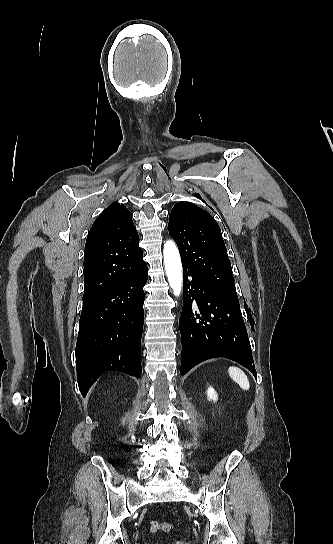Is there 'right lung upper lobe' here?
Returning <instances> with one entry per match:
<instances>
[{
    "label": "right lung upper lobe",
    "mask_w": 333,
    "mask_h": 544,
    "mask_svg": "<svg viewBox=\"0 0 333 544\" xmlns=\"http://www.w3.org/2000/svg\"><path fill=\"white\" fill-rule=\"evenodd\" d=\"M144 264L131 212L123 204H111L87 236L83 301L106 293Z\"/></svg>",
    "instance_id": "right-lung-upper-lobe-1"
}]
</instances>
